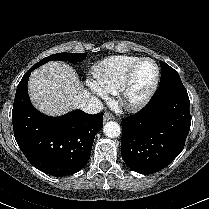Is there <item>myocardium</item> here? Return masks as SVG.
I'll list each match as a JSON object with an SVG mask.
<instances>
[{
  "instance_id": "obj_1",
  "label": "myocardium",
  "mask_w": 209,
  "mask_h": 209,
  "mask_svg": "<svg viewBox=\"0 0 209 209\" xmlns=\"http://www.w3.org/2000/svg\"><path fill=\"white\" fill-rule=\"evenodd\" d=\"M151 62L155 67V78L147 93L140 99L133 100L130 98V89L132 86L133 76L136 69L143 62ZM160 81V68L155 60L149 57H143L137 60L128 70L125 79L118 92L120 105L129 111H136L144 108L153 98L155 92L157 91Z\"/></svg>"
}]
</instances>
